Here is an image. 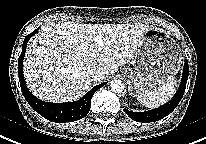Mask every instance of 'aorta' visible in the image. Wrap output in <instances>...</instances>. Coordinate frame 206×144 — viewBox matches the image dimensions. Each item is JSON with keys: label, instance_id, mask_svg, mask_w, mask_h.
Listing matches in <instances>:
<instances>
[{"label": "aorta", "instance_id": "762f6f07", "mask_svg": "<svg viewBox=\"0 0 206 144\" xmlns=\"http://www.w3.org/2000/svg\"><path fill=\"white\" fill-rule=\"evenodd\" d=\"M110 88L114 93H121L124 90V83L121 80H113L110 83Z\"/></svg>", "mask_w": 206, "mask_h": 144}]
</instances>
